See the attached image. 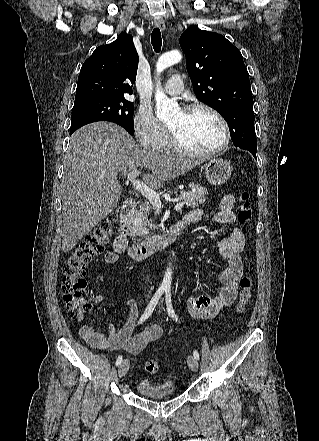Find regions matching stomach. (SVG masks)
Returning <instances> with one entry per match:
<instances>
[{
    "instance_id": "stomach-1",
    "label": "stomach",
    "mask_w": 319,
    "mask_h": 441,
    "mask_svg": "<svg viewBox=\"0 0 319 441\" xmlns=\"http://www.w3.org/2000/svg\"><path fill=\"white\" fill-rule=\"evenodd\" d=\"M205 174L209 183L219 185L229 179L232 167L224 159H211L205 164Z\"/></svg>"
}]
</instances>
